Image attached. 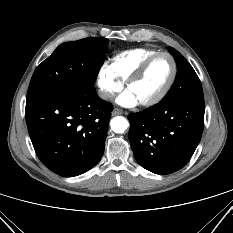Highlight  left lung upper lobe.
I'll return each mask as SVG.
<instances>
[{
    "instance_id": "left-lung-upper-lobe-1",
    "label": "left lung upper lobe",
    "mask_w": 233,
    "mask_h": 233,
    "mask_svg": "<svg viewBox=\"0 0 233 233\" xmlns=\"http://www.w3.org/2000/svg\"><path fill=\"white\" fill-rule=\"evenodd\" d=\"M177 64L176 80L161 102L178 99H204L201 82L188 61L174 48L168 47Z\"/></svg>"
}]
</instances>
